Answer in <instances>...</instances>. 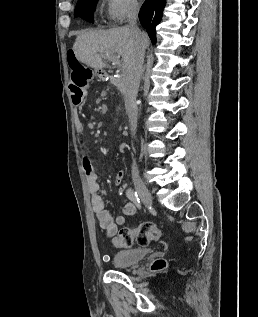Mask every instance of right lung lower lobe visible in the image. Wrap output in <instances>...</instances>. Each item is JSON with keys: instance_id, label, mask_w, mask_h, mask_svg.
<instances>
[{"instance_id": "98d812e1", "label": "right lung lower lobe", "mask_w": 258, "mask_h": 317, "mask_svg": "<svg viewBox=\"0 0 258 317\" xmlns=\"http://www.w3.org/2000/svg\"><path fill=\"white\" fill-rule=\"evenodd\" d=\"M166 0H146L139 12V20L151 41L156 42V25L160 22Z\"/></svg>"}]
</instances>
